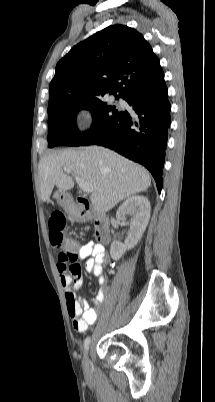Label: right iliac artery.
Wrapping results in <instances>:
<instances>
[{"label":"right iliac artery","mask_w":215,"mask_h":402,"mask_svg":"<svg viewBox=\"0 0 215 402\" xmlns=\"http://www.w3.org/2000/svg\"><path fill=\"white\" fill-rule=\"evenodd\" d=\"M89 345H90V337H87L84 341V349L85 351H87L89 349Z\"/></svg>","instance_id":"82829eb1"}]
</instances>
